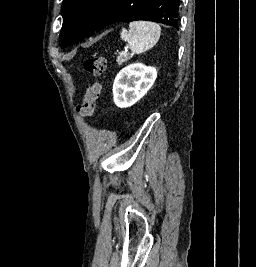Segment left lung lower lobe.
Instances as JSON below:
<instances>
[{
  "label": "left lung lower lobe",
  "instance_id": "1",
  "mask_svg": "<svg viewBox=\"0 0 256 267\" xmlns=\"http://www.w3.org/2000/svg\"><path fill=\"white\" fill-rule=\"evenodd\" d=\"M175 4H176V24L179 26L178 9H179L180 0H175Z\"/></svg>",
  "mask_w": 256,
  "mask_h": 267
}]
</instances>
